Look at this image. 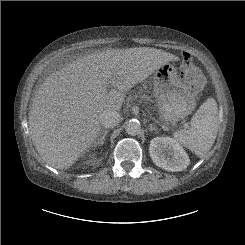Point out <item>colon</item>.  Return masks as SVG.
<instances>
[{
    "label": "colon",
    "instance_id": "obj_1",
    "mask_svg": "<svg viewBox=\"0 0 245 245\" xmlns=\"http://www.w3.org/2000/svg\"><path fill=\"white\" fill-rule=\"evenodd\" d=\"M180 74L194 95L202 93L207 84V79L189 52L183 51L181 54Z\"/></svg>",
    "mask_w": 245,
    "mask_h": 245
}]
</instances>
